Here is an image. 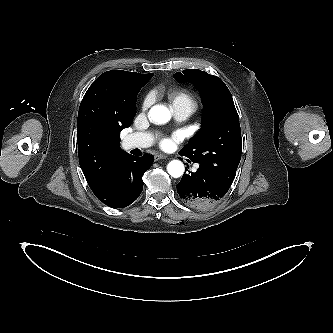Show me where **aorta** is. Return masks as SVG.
I'll use <instances>...</instances> for the list:
<instances>
[{
  "instance_id": "762f6f07",
  "label": "aorta",
  "mask_w": 333,
  "mask_h": 333,
  "mask_svg": "<svg viewBox=\"0 0 333 333\" xmlns=\"http://www.w3.org/2000/svg\"><path fill=\"white\" fill-rule=\"evenodd\" d=\"M148 117L156 124H165L171 119V113L167 107L155 105L150 109ZM167 171L172 177L178 178L184 173V165L179 160H172L167 165Z\"/></svg>"
}]
</instances>
